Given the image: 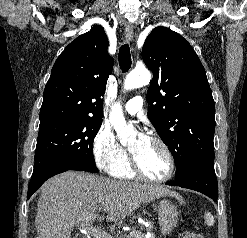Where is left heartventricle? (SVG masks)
Returning a JSON list of instances; mask_svg holds the SVG:
<instances>
[{"mask_svg":"<svg viewBox=\"0 0 247 238\" xmlns=\"http://www.w3.org/2000/svg\"><path fill=\"white\" fill-rule=\"evenodd\" d=\"M130 151L134 155L140 169L150 177H161L168 170V160L162 148L147 139L139 143L135 139L130 144Z\"/></svg>","mask_w":247,"mask_h":238,"instance_id":"b2bd125f","label":"left heart ventricle"}]
</instances>
